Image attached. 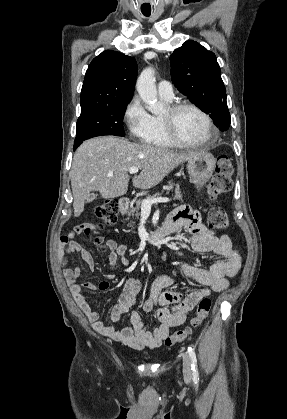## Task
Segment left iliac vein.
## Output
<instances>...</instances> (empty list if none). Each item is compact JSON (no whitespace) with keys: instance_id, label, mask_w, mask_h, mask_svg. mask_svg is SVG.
<instances>
[{"instance_id":"1","label":"left iliac vein","mask_w":287,"mask_h":419,"mask_svg":"<svg viewBox=\"0 0 287 419\" xmlns=\"http://www.w3.org/2000/svg\"><path fill=\"white\" fill-rule=\"evenodd\" d=\"M183 374L186 379H190L192 376L191 361L187 354L183 355Z\"/></svg>"}]
</instances>
